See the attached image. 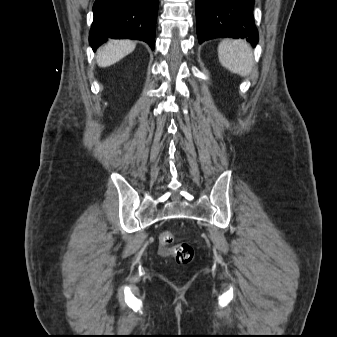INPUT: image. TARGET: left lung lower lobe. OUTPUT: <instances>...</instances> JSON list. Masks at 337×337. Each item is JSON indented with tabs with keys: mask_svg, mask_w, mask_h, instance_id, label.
<instances>
[{
	"mask_svg": "<svg viewBox=\"0 0 337 337\" xmlns=\"http://www.w3.org/2000/svg\"><path fill=\"white\" fill-rule=\"evenodd\" d=\"M199 43L218 38H246L256 46L258 30L253 19L254 0H196Z\"/></svg>",
	"mask_w": 337,
	"mask_h": 337,
	"instance_id": "left-lung-lower-lobe-1",
	"label": "left lung lower lobe"
}]
</instances>
